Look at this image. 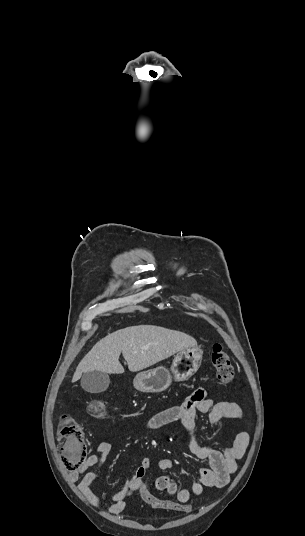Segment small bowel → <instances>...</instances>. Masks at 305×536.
<instances>
[{
  "label": "small bowel",
  "instance_id": "1",
  "mask_svg": "<svg viewBox=\"0 0 305 536\" xmlns=\"http://www.w3.org/2000/svg\"><path fill=\"white\" fill-rule=\"evenodd\" d=\"M198 413L208 414L209 422L217 425L222 419H240L242 410L235 402L220 401L214 402L207 396V390L203 387L196 388L186 399L179 405L165 408L153 415L147 422V429L157 430L171 423L180 422L184 428L188 448L192 454L200 459L206 460L209 464L208 469L199 471V479L195 481L191 490L180 488L176 481L169 476L158 477L154 484L155 491H165L173 495H179L180 500H189L191 495H202L205 488H222L226 486L231 475L236 471V461L240 459L248 446L249 435L246 431L239 432L232 444L221 450L209 446H201L197 443L194 430L196 426V417ZM112 446L109 442H100L94 453L88 455L80 467L70 473L72 481H79L80 491L92 502L103 504L105 500L91 491L90 486L98 476L97 471H88L93 466L100 467L109 454ZM151 465L148 457H143L136 467L133 475L126 481L124 486L116 492L110 499L109 512L114 515L122 513L126 508V499L133 493L138 492L141 485H146L145 475ZM175 461L170 458L159 460L158 467L163 471L172 469Z\"/></svg>",
  "mask_w": 305,
  "mask_h": 536
}]
</instances>
